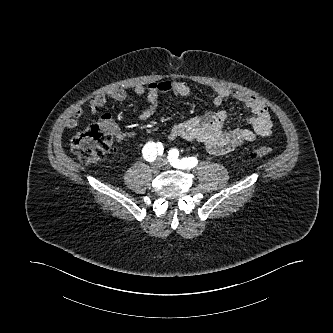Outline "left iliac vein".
I'll return each instance as SVG.
<instances>
[{
    "label": "left iliac vein",
    "mask_w": 333,
    "mask_h": 333,
    "mask_svg": "<svg viewBox=\"0 0 333 333\" xmlns=\"http://www.w3.org/2000/svg\"><path fill=\"white\" fill-rule=\"evenodd\" d=\"M161 164H162L163 167H169V163H168L167 159L164 156L161 159Z\"/></svg>",
    "instance_id": "obj_1"
}]
</instances>
